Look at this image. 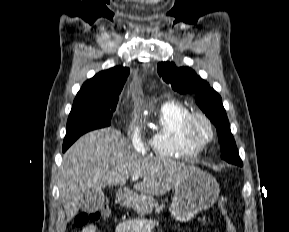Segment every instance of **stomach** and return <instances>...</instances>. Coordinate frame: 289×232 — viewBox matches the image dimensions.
<instances>
[{
	"label": "stomach",
	"instance_id": "1",
	"mask_svg": "<svg viewBox=\"0 0 289 232\" xmlns=\"http://www.w3.org/2000/svg\"><path fill=\"white\" fill-rule=\"evenodd\" d=\"M219 192L215 178L194 167L175 187L170 212L178 221H189L200 211L211 207L218 199ZM116 197L121 204L131 205L140 217L148 215L155 204L152 197L131 192L120 191Z\"/></svg>",
	"mask_w": 289,
	"mask_h": 232
}]
</instances>
